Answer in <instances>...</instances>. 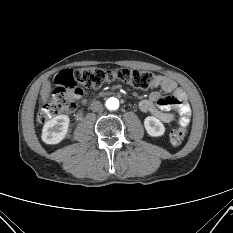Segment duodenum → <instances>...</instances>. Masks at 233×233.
<instances>
[{
	"mask_svg": "<svg viewBox=\"0 0 233 233\" xmlns=\"http://www.w3.org/2000/svg\"><path fill=\"white\" fill-rule=\"evenodd\" d=\"M113 93H114V92H112V91L100 92L97 96H98L99 98H101V97H105V96L111 95V94H113Z\"/></svg>",
	"mask_w": 233,
	"mask_h": 233,
	"instance_id": "410a0bca",
	"label": "duodenum"
}]
</instances>
